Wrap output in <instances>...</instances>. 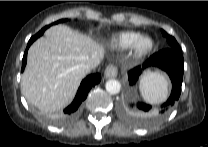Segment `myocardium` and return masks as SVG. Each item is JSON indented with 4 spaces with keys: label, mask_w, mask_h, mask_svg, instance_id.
Returning a JSON list of instances; mask_svg holds the SVG:
<instances>
[{
    "label": "myocardium",
    "mask_w": 208,
    "mask_h": 147,
    "mask_svg": "<svg viewBox=\"0 0 208 147\" xmlns=\"http://www.w3.org/2000/svg\"><path fill=\"white\" fill-rule=\"evenodd\" d=\"M146 40L149 42L148 46L142 47V43ZM154 46L153 38L149 35L142 34L134 41L131 47V53L136 58H143L152 52Z\"/></svg>",
    "instance_id": "f54148a6"
}]
</instances>
